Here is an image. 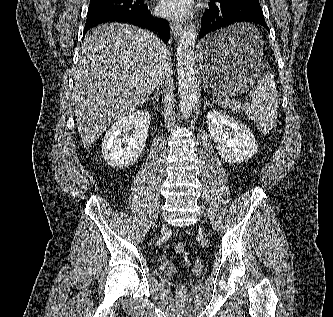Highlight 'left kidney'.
Returning a JSON list of instances; mask_svg holds the SVG:
<instances>
[{
  "mask_svg": "<svg viewBox=\"0 0 333 317\" xmlns=\"http://www.w3.org/2000/svg\"><path fill=\"white\" fill-rule=\"evenodd\" d=\"M206 120L219 155L226 162L248 161L258 151L252 132L227 113L213 110L207 113Z\"/></svg>",
  "mask_w": 333,
  "mask_h": 317,
  "instance_id": "obj_1",
  "label": "left kidney"
}]
</instances>
